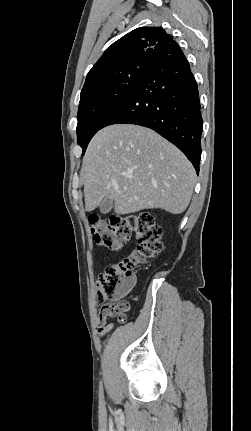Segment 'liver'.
<instances>
[{"label": "liver", "instance_id": "1", "mask_svg": "<svg viewBox=\"0 0 251 431\" xmlns=\"http://www.w3.org/2000/svg\"><path fill=\"white\" fill-rule=\"evenodd\" d=\"M85 210L106 197L124 215L160 208L180 214L188 207L196 173L186 156L151 129L114 124L98 131L83 158Z\"/></svg>", "mask_w": 251, "mask_h": 431}]
</instances>
